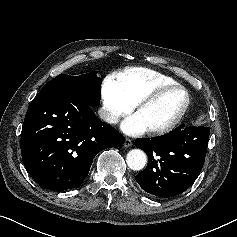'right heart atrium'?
<instances>
[{
	"label": "right heart atrium",
	"instance_id": "1",
	"mask_svg": "<svg viewBox=\"0 0 237 237\" xmlns=\"http://www.w3.org/2000/svg\"><path fill=\"white\" fill-rule=\"evenodd\" d=\"M101 100L103 118L109 124H116L120 118L127 115L134 108V104L125 97L114 80V76H107L101 84Z\"/></svg>",
	"mask_w": 237,
	"mask_h": 237
}]
</instances>
